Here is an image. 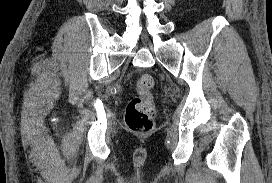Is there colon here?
<instances>
[{
  "instance_id": "obj_1",
  "label": "colon",
  "mask_w": 272,
  "mask_h": 183,
  "mask_svg": "<svg viewBox=\"0 0 272 183\" xmlns=\"http://www.w3.org/2000/svg\"><path fill=\"white\" fill-rule=\"evenodd\" d=\"M154 80L149 74H143L137 81L138 96L132 98L126 108V124L129 129L147 132L153 126L155 107L151 89Z\"/></svg>"
}]
</instances>
